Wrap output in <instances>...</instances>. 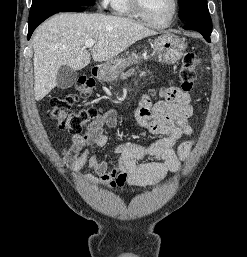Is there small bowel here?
<instances>
[{"mask_svg": "<svg viewBox=\"0 0 247 257\" xmlns=\"http://www.w3.org/2000/svg\"><path fill=\"white\" fill-rule=\"evenodd\" d=\"M152 93L154 90L141 97L135 116L142 127L162 138L148 144L133 141L117 144L114 148L117 162L110 167L107 161L91 155L95 149L108 144L105 127L117 126V112L108 109L90 123L84 134H74L71 145L63 148L62 155L70 169L78 172L88 164L96 176L84 174L83 178L112 188L153 185L168 173L177 172L194 145L193 139L180 142L183 136L193 133L189 124L193 114L190 95L179 88H164L159 91L162 100L153 104Z\"/></svg>", "mask_w": 247, "mask_h": 257, "instance_id": "1", "label": "small bowel"}]
</instances>
